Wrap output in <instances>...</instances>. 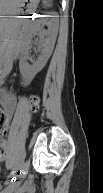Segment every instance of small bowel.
Wrapping results in <instances>:
<instances>
[{
    "label": "small bowel",
    "instance_id": "c3829d8e",
    "mask_svg": "<svg viewBox=\"0 0 103 193\" xmlns=\"http://www.w3.org/2000/svg\"><path fill=\"white\" fill-rule=\"evenodd\" d=\"M1 97H2V116L4 117L3 125L6 127L8 124L10 116L13 114V112L16 108L17 100L13 94L8 93V92H3ZM13 179H15V180L17 179L15 175L12 176L11 180H13ZM31 186H32V183L30 181H28L18 189H17V187L13 189V188H11V186H8V185H6L5 187H6L7 192L10 190L14 192L16 190V193H23L24 191L31 189ZM8 193H11V192H8Z\"/></svg>",
    "mask_w": 103,
    "mask_h": 193
}]
</instances>
